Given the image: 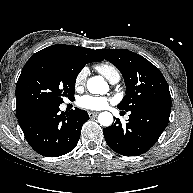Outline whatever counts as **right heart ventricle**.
<instances>
[{
  "mask_svg": "<svg viewBox=\"0 0 193 193\" xmlns=\"http://www.w3.org/2000/svg\"><path fill=\"white\" fill-rule=\"evenodd\" d=\"M96 70L105 78L111 81L115 77H120L118 69L110 63H101L96 66Z\"/></svg>",
  "mask_w": 193,
  "mask_h": 193,
  "instance_id": "1",
  "label": "right heart ventricle"
}]
</instances>
